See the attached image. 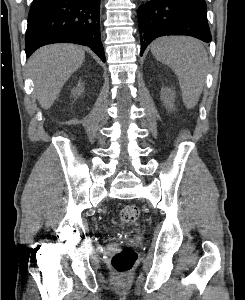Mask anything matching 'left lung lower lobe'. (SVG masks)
I'll return each mask as SVG.
<instances>
[{
    "label": "left lung lower lobe",
    "mask_w": 245,
    "mask_h": 300,
    "mask_svg": "<svg viewBox=\"0 0 245 300\" xmlns=\"http://www.w3.org/2000/svg\"><path fill=\"white\" fill-rule=\"evenodd\" d=\"M205 0H151L138 8L141 56L164 35H188L211 42Z\"/></svg>",
    "instance_id": "left-lung-lower-lobe-1"
}]
</instances>
